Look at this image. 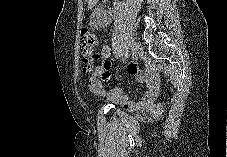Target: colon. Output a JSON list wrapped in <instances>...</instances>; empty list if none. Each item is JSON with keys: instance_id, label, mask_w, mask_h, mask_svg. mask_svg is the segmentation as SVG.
Listing matches in <instances>:
<instances>
[{"instance_id": "obj_1", "label": "colon", "mask_w": 227, "mask_h": 157, "mask_svg": "<svg viewBox=\"0 0 227 157\" xmlns=\"http://www.w3.org/2000/svg\"><path fill=\"white\" fill-rule=\"evenodd\" d=\"M97 44L96 34L88 28H83L81 30V47L85 72H90L98 59L95 51Z\"/></svg>"}]
</instances>
